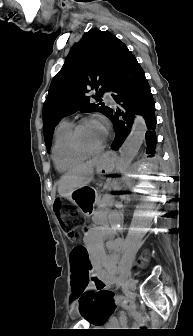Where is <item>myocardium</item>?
Listing matches in <instances>:
<instances>
[{
  "label": "myocardium",
  "instance_id": "myocardium-1",
  "mask_svg": "<svg viewBox=\"0 0 193 336\" xmlns=\"http://www.w3.org/2000/svg\"><path fill=\"white\" fill-rule=\"evenodd\" d=\"M89 123H92V121L89 120V119L81 120L77 125H75L72 128L71 133H70L71 147L73 148V150L75 152H77V153H79V154H81L85 157L94 156V155H97V154L101 153L104 150V148L106 146V143H107V140H108V132L105 130L104 140L99 147H97L96 149H93V150L85 148L79 140V132L83 127H85Z\"/></svg>",
  "mask_w": 193,
  "mask_h": 336
}]
</instances>
